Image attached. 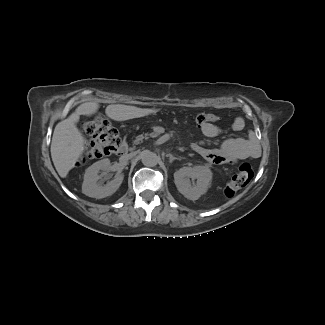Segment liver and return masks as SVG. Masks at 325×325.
I'll use <instances>...</instances> for the list:
<instances>
[{"label":"liver","instance_id":"6515ba94","mask_svg":"<svg viewBox=\"0 0 325 325\" xmlns=\"http://www.w3.org/2000/svg\"><path fill=\"white\" fill-rule=\"evenodd\" d=\"M99 109L98 102H85L65 120L59 122L53 133L51 142V157L54 166L60 175L65 178L82 156L86 140L77 128L80 115L91 116ZM154 108H138L135 106L115 104L106 107V115L115 121H125L140 118L158 112Z\"/></svg>","mask_w":325,"mask_h":325}]
</instances>
